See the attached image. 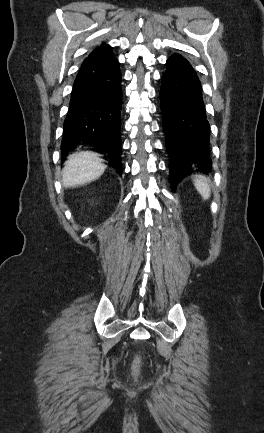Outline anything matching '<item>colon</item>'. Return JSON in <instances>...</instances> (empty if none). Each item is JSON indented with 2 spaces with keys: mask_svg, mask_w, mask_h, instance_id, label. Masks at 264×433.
Here are the masks:
<instances>
[{
  "mask_svg": "<svg viewBox=\"0 0 264 433\" xmlns=\"http://www.w3.org/2000/svg\"><path fill=\"white\" fill-rule=\"evenodd\" d=\"M139 362H140L139 358H135V360H134V362H133L132 369H133V372H134L135 374L138 372V369H139Z\"/></svg>",
  "mask_w": 264,
  "mask_h": 433,
  "instance_id": "obj_1",
  "label": "colon"
}]
</instances>
